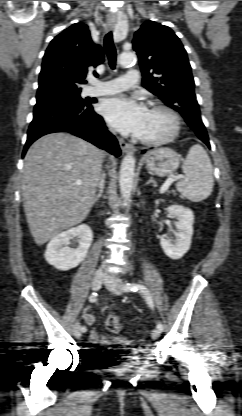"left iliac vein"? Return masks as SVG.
<instances>
[{"label": "left iliac vein", "mask_w": 242, "mask_h": 416, "mask_svg": "<svg viewBox=\"0 0 242 416\" xmlns=\"http://www.w3.org/2000/svg\"><path fill=\"white\" fill-rule=\"evenodd\" d=\"M104 284L105 286L112 291L115 294H121L122 289L121 286L123 284V281L120 278H117L112 275H106L104 277ZM161 332L159 329H153L151 332V337L153 339H157L160 336Z\"/></svg>", "instance_id": "4c4485c4"}]
</instances>
